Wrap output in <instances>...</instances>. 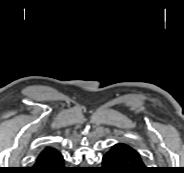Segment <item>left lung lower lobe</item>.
Segmentation results:
<instances>
[{"mask_svg": "<svg viewBox=\"0 0 184 173\" xmlns=\"http://www.w3.org/2000/svg\"><path fill=\"white\" fill-rule=\"evenodd\" d=\"M102 164L104 173H149L138 151L124 143L112 146Z\"/></svg>", "mask_w": 184, "mask_h": 173, "instance_id": "0a47b994", "label": "left lung lower lobe"}]
</instances>
